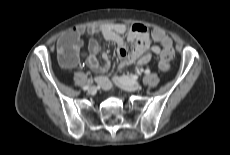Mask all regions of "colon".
I'll return each instance as SVG.
<instances>
[{
  "label": "colon",
  "mask_w": 230,
  "mask_h": 155,
  "mask_svg": "<svg viewBox=\"0 0 230 155\" xmlns=\"http://www.w3.org/2000/svg\"><path fill=\"white\" fill-rule=\"evenodd\" d=\"M154 37L157 39H163L166 33L160 30L154 31ZM77 44V39L75 37H70L68 40L62 42L58 46L57 56L59 61L66 65L72 66L77 60V54L75 46ZM174 50L173 48H166L161 53V58L159 62V68L166 71L170 67V61L173 58Z\"/></svg>",
  "instance_id": "5ec220e1"
}]
</instances>
